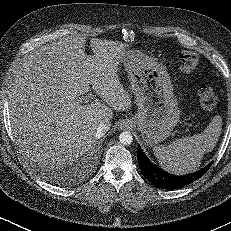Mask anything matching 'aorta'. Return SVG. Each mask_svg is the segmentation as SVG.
I'll return each mask as SVG.
<instances>
[{"label":"aorta","mask_w":231,"mask_h":231,"mask_svg":"<svg viewBox=\"0 0 231 231\" xmlns=\"http://www.w3.org/2000/svg\"><path fill=\"white\" fill-rule=\"evenodd\" d=\"M119 141L123 145H130L133 141V137L129 132H122L119 135Z\"/></svg>","instance_id":"1"}]
</instances>
